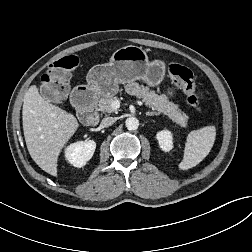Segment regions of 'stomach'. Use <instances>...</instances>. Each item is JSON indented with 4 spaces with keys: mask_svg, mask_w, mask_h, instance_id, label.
Listing matches in <instances>:
<instances>
[{
    "mask_svg": "<svg viewBox=\"0 0 252 252\" xmlns=\"http://www.w3.org/2000/svg\"><path fill=\"white\" fill-rule=\"evenodd\" d=\"M165 70L162 60L149 61L142 47L128 45L116 50L109 63L92 67L86 77L88 84L79 85L74 90L106 97L118 92L119 83L141 79L150 86L159 85L164 79ZM168 94L174 95L172 90Z\"/></svg>",
    "mask_w": 252,
    "mask_h": 252,
    "instance_id": "1",
    "label": "stomach"
}]
</instances>
